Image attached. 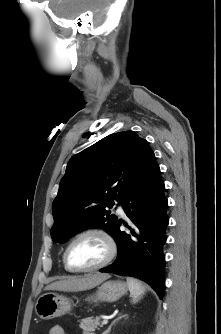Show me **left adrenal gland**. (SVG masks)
<instances>
[{"mask_svg": "<svg viewBox=\"0 0 221 334\" xmlns=\"http://www.w3.org/2000/svg\"><path fill=\"white\" fill-rule=\"evenodd\" d=\"M122 318L127 319L128 318V314H121L120 313L118 315V317L112 321V323L110 324V326L102 334H108V333H110L112 326L115 325Z\"/></svg>", "mask_w": 221, "mask_h": 334, "instance_id": "obj_1", "label": "left adrenal gland"}]
</instances>
